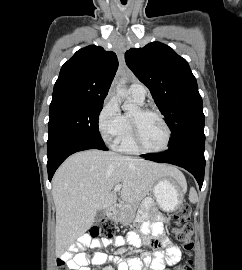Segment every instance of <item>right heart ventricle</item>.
Segmentation results:
<instances>
[{"label": "right heart ventricle", "mask_w": 242, "mask_h": 270, "mask_svg": "<svg viewBox=\"0 0 242 270\" xmlns=\"http://www.w3.org/2000/svg\"><path fill=\"white\" fill-rule=\"evenodd\" d=\"M115 147L118 151L124 152V153H137L138 152L132 140L131 116L129 114L123 115V129L119 138L117 139L115 143Z\"/></svg>", "instance_id": "e07e8e85"}]
</instances>
